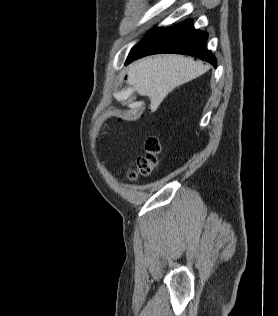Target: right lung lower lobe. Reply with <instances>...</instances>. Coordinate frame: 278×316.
<instances>
[{
  "instance_id": "1",
  "label": "right lung lower lobe",
  "mask_w": 278,
  "mask_h": 316,
  "mask_svg": "<svg viewBox=\"0 0 278 316\" xmlns=\"http://www.w3.org/2000/svg\"><path fill=\"white\" fill-rule=\"evenodd\" d=\"M207 33L196 30L191 20L169 28H155L135 45L126 65L143 56L156 53H180L198 57L216 67V59L206 48Z\"/></svg>"
}]
</instances>
